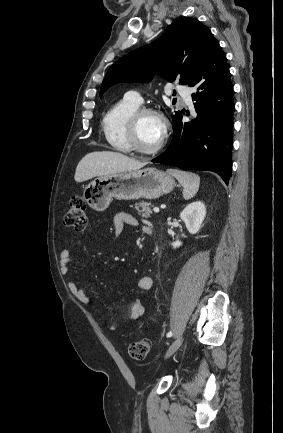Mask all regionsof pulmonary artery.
Returning a JSON list of instances; mask_svg holds the SVG:
<instances>
[{
  "label": "pulmonary artery",
  "instance_id": "1",
  "mask_svg": "<svg viewBox=\"0 0 283 433\" xmlns=\"http://www.w3.org/2000/svg\"><path fill=\"white\" fill-rule=\"evenodd\" d=\"M174 88L177 91L178 96H181L182 103L188 107H192V105H193L192 96H191L189 87H182V85L178 83L175 85ZM168 93H171V90H169ZM127 94H128V96H127L128 100H130L131 102H133L137 105L142 104L143 99L139 93H137L135 91H129Z\"/></svg>",
  "mask_w": 283,
  "mask_h": 433
}]
</instances>
